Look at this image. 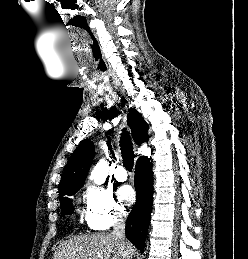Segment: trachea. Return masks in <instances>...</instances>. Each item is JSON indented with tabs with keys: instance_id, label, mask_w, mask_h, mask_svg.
<instances>
[{
	"instance_id": "trachea-1",
	"label": "trachea",
	"mask_w": 248,
	"mask_h": 259,
	"mask_svg": "<svg viewBox=\"0 0 248 259\" xmlns=\"http://www.w3.org/2000/svg\"><path fill=\"white\" fill-rule=\"evenodd\" d=\"M120 147L123 158V164L128 171H132L134 164V153L130 142L129 132L121 133Z\"/></svg>"
}]
</instances>
